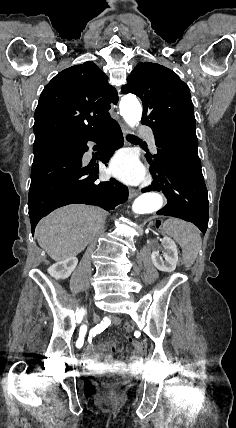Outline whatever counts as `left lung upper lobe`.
I'll return each instance as SVG.
<instances>
[{
  "instance_id": "1",
  "label": "left lung upper lobe",
  "mask_w": 236,
  "mask_h": 428,
  "mask_svg": "<svg viewBox=\"0 0 236 428\" xmlns=\"http://www.w3.org/2000/svg\"><path fill=\"white\" fill-rule=\"evenodd\" d=\"M127 80L122 92L133 93L142 100V124L151 127L157 137L198 155L193 103L187 84L172 70L152 62L138 63Z\"/></svg>"
}]
</instances>
